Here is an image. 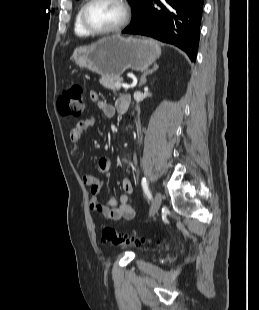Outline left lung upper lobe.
Listing matches in <instances>:
<instances>
[{
    "label": "left lung upper lobe",
    "mask_w": 259,
    "mask_h": 310,
    "mask_svg": "<svg viewBox=\"0 0 259 310\" xmlns=\"http://www.w3.org/2000/svg\"><path fill=\"white\" fill-rule=\"evenodd\" d=\"M128 1L130 2L133 8V20H132L133 22L138 17L140 9L147 0H128Z\"/></svg>",
    "instance_id": "left-lung-upper-lobe-1"
}]
</instances>
